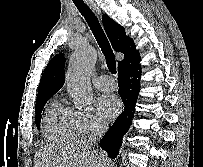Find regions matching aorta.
Returning a JSON list of instances; mask_svg holds the SVG:
<instances>
[{
    "label": "aorta",
    "instance_id": "aorta-1",
    "mask_svg": "<svg viewBox=\"0 0 203 167\" xmlns=\"http://www.w3.org/2000/svg\"><path fill=\"white\" fill-rule=\"evenodd\" d=\"M96 61L97 53L87 43H81L71 56L67 88L76 105L87 106L92 101V89L89 78Z\"/></svg>",
    "mask_w": 203,
    "mask_h": 167
}]
</instances>
